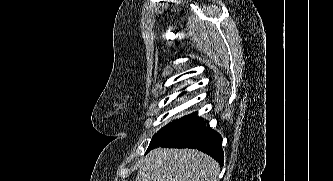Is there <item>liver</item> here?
Returning a JSON list of instances; mask_svg holds the SVG:
<instances>
[{"instance_id": "1", "label": "liver", "mask_w": 333, "mask_h": 181, "mask_svg": "<svg viewBox=\"0 0 333 181\" xmlns=\"http://www.w3.org/2000/svg\"><path fill=\"white\" fill-rule=\"evenodd\" d=\"M219 165L194 149L156 148L140 162L135 181H218Z\"/></svg>"}]
</instances>
